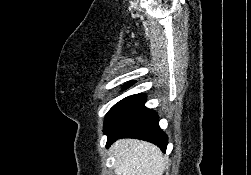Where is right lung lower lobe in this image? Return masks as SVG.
Instances as JSON below:
<instances>
[{
    "mask_svg": "<svg viewBox=\"0 0 251 175\" xmlns=\"http://www.w3.org/2000/svg\"><path fill=\"white\" fill-rule=\"evenodd\" d=\"M146 96L135 94L115 104L104 122L107 147L119 138H138L152 142L165 152L168 138L159 127L155 111L144 106Z\"/></svg>",
    "mask_w": 251,
    "mask_h": 175,
    "instance_id": "98d812e1",
    "label": "right lung lower lobe"
}]
</instances>
